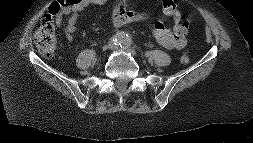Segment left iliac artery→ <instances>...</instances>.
Segmentation results:
<instances>
[{"label":"left iliac artery","instance_id":"44dca946","mask_svg":"<svg viewBox=\"0 0 253 143\" xmlns=\"http://www.w3.org/2000/svg\"><path fill=\"white\" fill-rule=\"evenodd\" d=\"M132 43V39L130 36L126 35L124 39L122 40V43L120 44L121 48L123 47H129Z\"/></svg>","mask_w":253,"mask_h":143}]
</instances>
